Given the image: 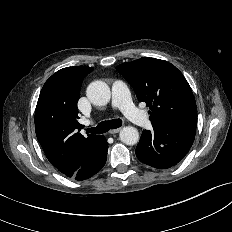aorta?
<instances>
[{
  "label": "aorta",
  "instance_id": "1",
  "mask_svg": "<svg viewBox=\"0 0 232 232\" xmlns=\"http://www.w3.org/2000/svg\"><path fill=\"white\" fill-rule=\"evenodd\" d=\"M86 95L90 102L97 106L106 105L111 98L109 86L100 80L93 81L89 84ZM119 137L126 145H134L139 141V132L132 126H126L120 131Z\"/></svg>",
  "mask_w": 232,
  "mask_h": 232
}]
</instances>
